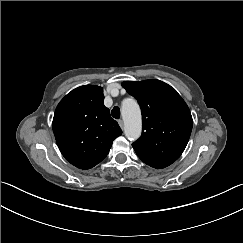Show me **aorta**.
<instances>
[{
  "label": "aorta",
  "instance_id": "obj_1",
  "mask_svg": "<svg viewBox=\"0 0 243 243\" xmlns=\"http://www.w3.org/2000/svg\"><path fill=\"white\" fill-rule=\"evenodd\" d=\"M121 115L125 136L130 141L138 139L142 132V117L137 101L133 98L124 99L121 104Z\"/></svg>",
  "mask_w": 243,
  "mask_h": 243
}]
</instances>
